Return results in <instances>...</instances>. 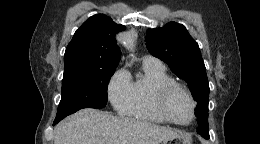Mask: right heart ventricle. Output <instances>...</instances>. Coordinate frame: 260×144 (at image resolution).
Returning <instances> with one entry per match:
<instances>
[{"label":"right heart ventricle","mask_w":260,"mask_h":144,"mask_svg":"<svg viewBox=\"0 0 260 144\" xmlns=\"http://www.w3.org/2000/svg\"><path fill=\"white\" fill-rule=\"evenodd\" d=\"M142 77L131 82V97L125 114L131 118L163 123L155 111L152 99L156 88L162 84L174 82L164 67H157L143 62Z\"/></svg>","instance_id":"obj_1"}]
</instances>
